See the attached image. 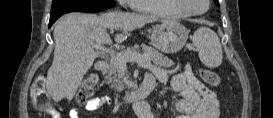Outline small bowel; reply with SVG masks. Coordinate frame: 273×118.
<instances>
[{
	"label": "small bowel",
	"mask_w": 273,
	"mask_h": 118,
	"mask_svg": "<svg viewBox=\"0 0 273 118\" xmlns=\"http://www.w3.org/2000/svg\"><path fill=\"white\" fill-rule=\"evenodd\" d=\"M145 79L154 82L158 80L163 84L169 82L171 88L180 95L175 105L176 118H219V101L216 94L196 78L188 65L171 77L166 70L153 67ZM110 103L111 99L107 96L94 97L85 104L84 108L86 111H95ZM135 111L139 118H154L145 104H137ZM79 114L78 108H72L69 117L78 118Z\"/></svg>",
	"instance_id": "small-bowel-1"
}]
</instances>
